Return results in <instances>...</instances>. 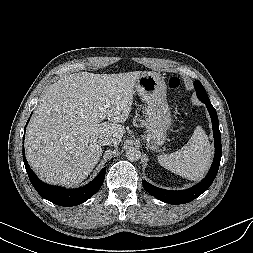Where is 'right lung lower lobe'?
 I'll use <instances>...</instances> for the list:
<instances>
[{
  "instance_id": "98d812e1",
  "label": "right lung lower lobe",
  "mask_w": 253,
  "mask_h": 253,
  "mask_svg": "<svg viewBox=\"0 0 253 253\" xmlns=\"http://www.w3.org/2000/svg\"><path fill=\"white\" fill-rule=\"evenodd\" d=\"M23 161L29 179L35 190L44 199L60 206H75L85 202L100 189L105 178L106 168H103L102 171L98 174V176L86 186L77 189H65L62 187L51 186L43 183L29 167L28 162L25 158L24 148H23Z\"/></svg>"
}]
</instances>
